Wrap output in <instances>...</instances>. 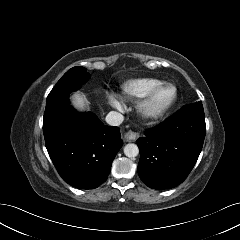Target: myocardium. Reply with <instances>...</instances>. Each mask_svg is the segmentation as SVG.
I'll return each mask as SVG.
<instances>
[{
    "instance_id": "obj_1",
    "label": "myocardium",
    "mask_w": 240,
    "mask_h": 240,
    "mask_svg": "<svg viewBox=\"0 0 240 240\" xmlns=\"http://www.w3.org/2000/svg\"><path fill=\"white\" fill-rule=\"evenodd\" d=\"M165 89H172V97L162 106H155L154 100L156 96ZM178 98L177 88L170 83H162L151 89L140 101L138 105L139 113L146 119H159L163 117L174 106Z\"/></svg>"
}]
</instances>
